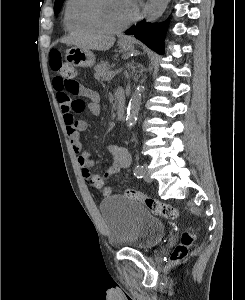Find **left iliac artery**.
<instances>
[{
  "instance_id": "left-iliac-artery-1",
  "label": "left iliac artery",
  "mask_w": 245,
  "mask_h": 300,
  "mask_svg": "<svg viewBox=\"0 0 245 300\" xmlns=\"http://www.w3.org/2000/svg\"><path fill=\"white\" fill-rule=\"evenodd\" d=\"M142 171H143V166L137 165L134 169V175L137 178H142L143 177Z\"/></svg>"
}]
</instances>
